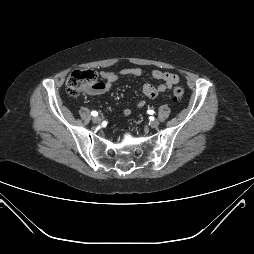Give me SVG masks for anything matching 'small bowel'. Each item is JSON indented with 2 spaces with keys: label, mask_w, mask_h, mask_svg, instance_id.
Instances as JSON below:
<instances>
[{
  "label": "small bowel",
  "mask_w": 254,
  "mask_h": 254,
  "mask_svg": "<svg viewBox=\"0 0 254 254\" xmlns=\"http://www.w3.org/2000/svg\"><path fill=\"white\" fill-rule=\"evenodd\" d=\"M142 74V70L138 67H132V68H124L121 69L117 72L115 71H101L100 72V77L103 79V82H100L98 87H95L93 89L89 90L90 94H103L108 92L113 84L118 81V79L122 76H134L138 77ZM151 76L156 79L161 81L160 84L158 85H152L149 83H146L142 87V92L145 97L149 99H154L158 95L165 93L169 89H171L174 85L179 83V77L178 75L170 72H163L160 70H153L151 72ZM145 105L144 100H139L137 102V107L141 108ZM124 114L126 116L131 114V109L126 108L124 109Z\"/></svg>",
  "instance_id": "c3829d8e"
}]
</instances>
